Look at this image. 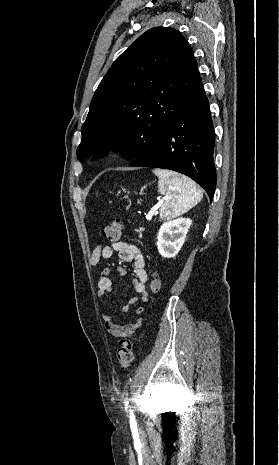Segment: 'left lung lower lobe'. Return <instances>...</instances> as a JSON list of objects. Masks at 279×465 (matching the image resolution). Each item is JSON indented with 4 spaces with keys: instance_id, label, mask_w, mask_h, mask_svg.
<instances>
[{
    "instance_id": "0a47b994",
    "label": "left lung lower lobe",
    "mask_w": 279,
    "mask_h": 465,
    "mask_svg": "<svg viewBox=\"0 0 279 465\" xmlns=\"http://www.w3.org/2000/svg\"><path fill=\"white\" fill-rule=\"evenodd\" d=\"M214 129L199 75L185 105L157 141L130 166L170 169L187 175L210 197L216 188Z\"/></svg>"
}]
</instances>
